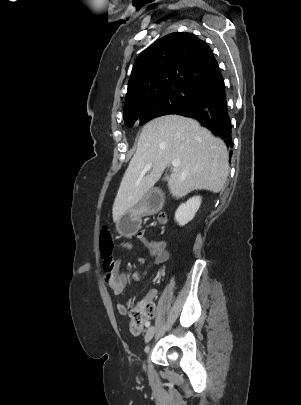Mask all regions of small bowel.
I'll use <instances>...</instances> for the list:
<instances>
[{
    "mask_svg": "<svg viewBox=\"0 0 301 405\" xmlns=\"http://www.w3.org/2000/svg\"><path fill=\"white\" fill-rule=\"evenodd\" d=\"M135 238L140 241L153 257L152 262H147L145 258H139V261L143 264H147L149 268L162 264L169 258V252L167 251L166 243L162 240H148L143 230L136 233ZM132 242H126L122 245L123 249H131ZM121 260L114 259L110 266H105L103 280L105 284L110 288L112 293L116 296L122 295L129 281L141 282L142 277L140 273L134 272L131 276L125 272L120 271ZM157 296V290L154 288L146 289L144 294V301L146 303H152ZM117 310L121 315L126 314V308L122 303L117 304ZM148 322V321H146ZM145 322V324H146Z\"/></svg>",
    "mask_w": 301,
    "mask_h": 405,
    "instance_id": "1",
    "label": "small bowel"
}]
</instances>
